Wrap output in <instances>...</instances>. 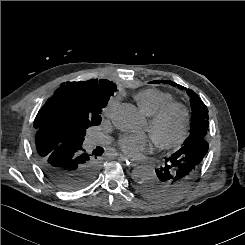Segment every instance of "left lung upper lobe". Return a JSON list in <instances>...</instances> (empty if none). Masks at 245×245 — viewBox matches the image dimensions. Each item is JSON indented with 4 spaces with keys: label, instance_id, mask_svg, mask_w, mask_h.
I'll list each match as a JSON object with an SVG mask.
<instances>
[{
    "label": "left lung upper lobe",
    "instance_id": "left-lung-upper-lobe-1",
    "mask_svg": "<svg viewBox=\"0 0 245 245\" xmlns=\"http://www.w3.org/2000/svg\"><path fill=\"white\" fill-rule=\"evenodd\" d=\"M150 83L159 84L165 83L170 84L172 86H178L179 89H186L185 87L176 84L170 80H158L152 81ZM187 94L190 97V104L192 108V122L190 128V135L184 141L183 144L191 143L197 140H203L206 138L207 130H208V109L206 105L202 102L200 97L192 90L187 89Z\"/></svg>",
    "mask_w": 245,
    "mask_h": 245
}]
</instances>
